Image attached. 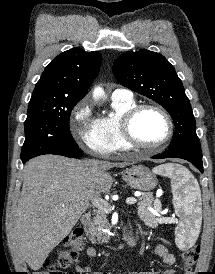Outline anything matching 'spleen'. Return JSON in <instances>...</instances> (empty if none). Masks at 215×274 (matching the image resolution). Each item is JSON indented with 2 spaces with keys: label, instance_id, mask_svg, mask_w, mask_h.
I'll list each match as a JSON object with an SVG mask.
<instances>
[{
  "label": "spleen",
  "instance_id": "spleen-1",
  "mask_svg": "<svg viewBox=\"0 0 215 274\" xmlns=\"http://www.w3.org/2000/svg\"><path fill=\"white\" fill-rule=\"evenodd\" d=\"M153 172L171 179L173 205L181 217L175 229L176 242L180 247L192 245L200 232L201 221L196 212L201 192L198 182L191 172L176 164L157 166Z\"/></svg>",
  "mask_w": 215,
  "mask_h": 274
}]
</instances>
